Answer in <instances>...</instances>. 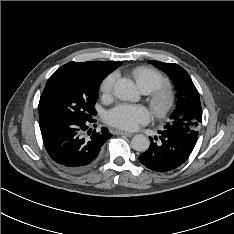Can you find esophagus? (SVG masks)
Segmentation results:
<instances>
[{
	"instance_id": "34e87169",
	"label": "esophagus",
	"mask_w": 234,
	"mask_h": 234,
	"mask_svg": "<svg viewBox=\"0 0 234 234\" xmlns=\"http://www.w3.org/2000/svg\"><path fill=\"white\" fill-rule=\"evenodd\" d=\"M116 133L119 135L127 136V137L133 136V133L125 132V131H116Z\"/></svg>"
}]
</instances>
